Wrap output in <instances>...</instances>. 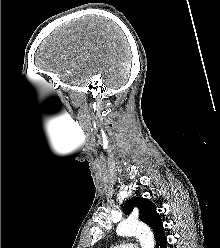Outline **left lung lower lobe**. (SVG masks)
Here are the masks:
<instances>
[{
    "label": "left lung lower lobe",
    "mask_w": 220,
    "mask_h": 248,
    "mask_svg": "<svg viewBox=\"0 0 220 248\" xmlns=\"http://www.w3.org/2000/svg\"><path fill=\"white\" fill-rule=\"evenodd\" d=\"M156 248H166L167 239L164 234V228L160 230L158 235L156 236Z\"/></svg>",
    "instance_id": "obj_1"
}]
</instances>
